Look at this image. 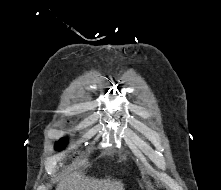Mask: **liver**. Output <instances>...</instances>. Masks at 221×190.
I'll use <instances>...</instances> for the list:
<instances>
[{"instance_id": "liver-1", "label": "liver", "mask_w": 221, "mask_h": 190, "mask_svg": "<svg viewBox=\"0 0 221 190\" xmlns=\"http://www.w3.org/2000/svg\"><path fill=\"white\" fill-rule=\"evenodd\" d=\"M56 190H124V184L115 179H90L83 172H73L64 175Z\"/></svg>"}]
</instances>
